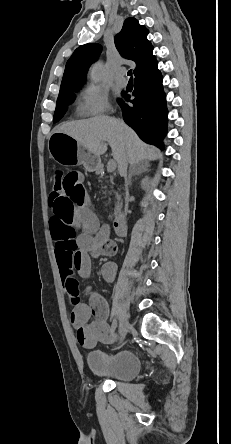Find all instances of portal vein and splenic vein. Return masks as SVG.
I'll return each mask as SVG.
<instances>
[{"instance_id":"18ae733b","label":"portal vein and splenic vein","mask_w":231,"mask_h":444,"mask_svg":"<svg viewBox=\"0 0 231 444\" xmlns=\"http://www.w3.org/2000/svg\"><path fill=\"white\" fill-rule=\"evenodd\" d=\"M115 169H116V161L115 160H109L108 166H107V171L109 173H112Z\"/></svg>"}]
</instances>
